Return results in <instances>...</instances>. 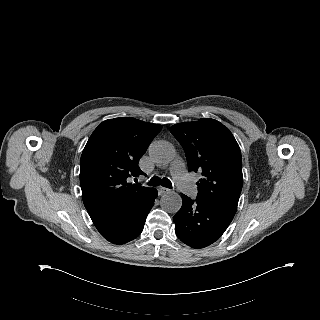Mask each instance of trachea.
<instances>
[{
    "label": "trachea",
    "instance_id": "1",
    "mask_svg": "<svg viewBox=\"0 0 320 320\" xmlns=\"http://www.w3.org/2000/svg\"><path fill=\"white\" fill-rule=\"evenodd\" d=\"M150 186H163L166 188H172V183L168 178H159L157 176L150 179V181L147 183Z\"/></svg>",
    "mask_w": 320,
    "mask_h": 320
}]
</instances>
